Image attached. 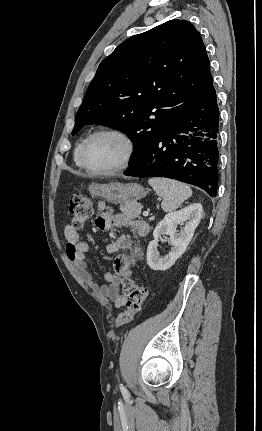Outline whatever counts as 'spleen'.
Listing matches in <instances>:
<instances>
[{
  "label": "spleen",
  "mask_w": 262,
  "mask_h": 431,
  "mask_svg": "<svg viewBox=\"0 0 262 431\" xmlns=\"http://www.w3.org/2000/svg\"><path fill=\"white\" fill-rule=\"evenodd\" d=\"M148 183L163 198L161 207L165 212L176 210L192 195V189L188 185L173 179L153 177Z\"/></svg>",
  "instance_id": "3e777b00"
}]
</instances>
